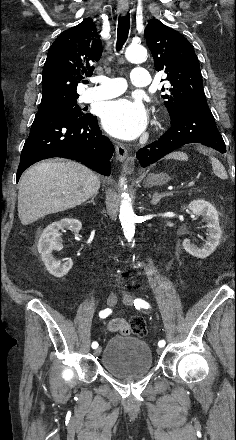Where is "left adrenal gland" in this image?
Here are the masks:
<instances>
[{"label": "left adrenal gland", "instance_id": "obj_1", "mask_svg": "<svg viewBox=\"0 0 236 440\" xmlns=\"http://www.w3.org/2000/svg\"><path fill=\"white\" fill-rule=\"evenodd\" d=\"M172 195L171 193H162L159 194L158 192H155L153 194L152 200H151V204L156 205L163 197L165 196H170Z\"/></svg>", "mask_w": 236, "mask_h": 440}]
</instances>
